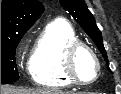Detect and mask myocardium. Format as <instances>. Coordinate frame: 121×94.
<instances>
[{
    "label": "myocardium",
    "instance_id": "myocardium-1",
    "mask_svg": "<svg viewBox=\"0 0 121 94\" xmlns=\"http://www.w3.org/2000/svg\"><path fill=\"white\" fill-rule=\"evenodd\" d=\"M82 49L90 53L96 62L97 73H96V77L93 78L92 80L84 81L80 79V77L76 73L75 59H76L78 52ZM64 70H65L66 76L69 78V80L73 84L89 85V84L96 82L98 78L100 77V74L102 71V63L98 55L96 54V52L88 44L84 43L83 41L77 40V41L72 42L70 45H68V47L65 50Z\"/></svg>",
    "mask_w": 121,
    "mask_h": 94
}]
</instances>
